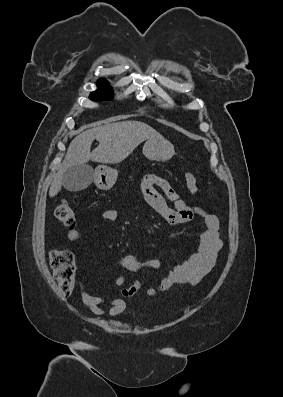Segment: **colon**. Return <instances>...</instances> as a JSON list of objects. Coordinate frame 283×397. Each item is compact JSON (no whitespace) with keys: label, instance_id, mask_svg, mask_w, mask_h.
<instances>
[{"label":"colon","instance_id":"1","mask_svg":"<svg viewBox=\"0 0 283 397\" xmlns=\"http://www.w3.org/2000/svg\"><path fill=\"white\" fill-rule=\"evenodd\" d=\"M185 182L192 194L198 193V183L192 172L187 171L185 173ZM54 215L57 220L66 226L75 225V211L64 201L56 206ZM49 261L61 294L64 296L70 295L75 288L76 267L73 253L68 249H53L49 253Z\"/></svg>","mask_w":283,"mask_h":397}]
</instances>
